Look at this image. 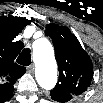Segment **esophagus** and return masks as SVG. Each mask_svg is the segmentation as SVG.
Listing matches in <instances>:
<instances>
[{"label": "esophagus", "instance_id": "esophagus-1", "mask_svg": "<svg viewBox=\"0 0 103 103\" xmlns=\"http://www.w3.org/2000/svg\"><path fill=\"white\" fill-rule=\"evenodd\" d=\"M35 66L33 64L29 65L27 70L29 73H33Z\"/></svg>", "mask_w": 103, "mask_h": 103}]
</instances>
